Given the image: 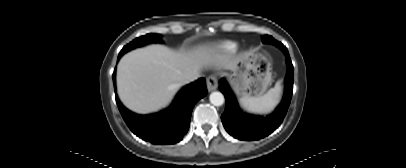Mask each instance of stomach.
I'll return each instance as SVG.
<instances>
[{
  "label": "stomach",
  "instance_id": "0dacf381",
  "mask_svg": "<svg viewBox=\"0 0 406 168\" xmlns=\"http://www.w3.org/2000/svg\"><path fill=\"white\" fill-rule=\"evenodd\" d=\"M272 66L270 60L256 50L241 54L229 82L238 97H260L271 84Z\"/></svg>",
  "mask_w": 406,
  "mask_h": 168
}]
</instances>
